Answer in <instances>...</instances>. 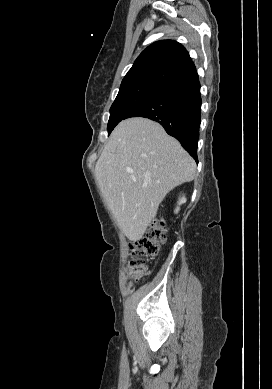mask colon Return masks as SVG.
<instances>
[{"instance_id":"1","label":"colon","mask_w":272,"mask_h":389,"mask_svg":"<svg viewBox=\"0 0 272 389\" xmlns=\"http://www.w3.org/2000/svg\"><path fill=\"white\" fill-rule=\"evenodd\" d=\"M166 240L163 220H155L141 238L131 246V259L128 265L129 276L141 279L147 274L146 259L158 253L159 247Z\"/></svg>"}]
</instances>
